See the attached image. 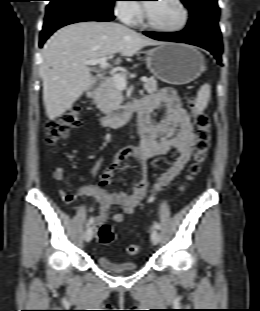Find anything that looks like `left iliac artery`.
I'll list each match as a JSON object with an SVG mask.
<instances>
[{"instance_id": "1", "label": "left iliac artery", "mask_w": 260, "mask_h": 311, "mask_svg": "<svg viewBox=\"0 0 260 311\" xmlns=\"http://www.w3.org/2000/svg\"><path fill=\"white\" fill-rule=\"evenodd\" d=\"M154 227L159 230L160 229V224L158 222H155L154 223Z\"/></svg>"}]
</instances>
